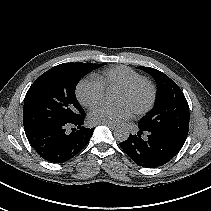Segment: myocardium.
Wrapping results in <instances>:
<instances>
[{
    "label": "myocardium",
    "mask_w": 211,
    "mask_h": 211,
    "mask_svg": "<svg viewBox=\"0 0 211 211\" xmlns=\"http://www.w3.org/2000/svg\"><path fill=\"white\" fill-rule=\"evenodd\" d=\"M146 86L150 91V96L146 104L143 106L137 107L133 109V112L137 115H142L147 112H149L155 105L156 98H157V89L154 83L146 78H142L139 80H135L133 82H130L124 86H121L119 90L126 92V93H132L136 91L138 88Z\"/></svg>",
    "instance_id": "f54148a6"
}]
</instances>
